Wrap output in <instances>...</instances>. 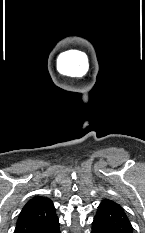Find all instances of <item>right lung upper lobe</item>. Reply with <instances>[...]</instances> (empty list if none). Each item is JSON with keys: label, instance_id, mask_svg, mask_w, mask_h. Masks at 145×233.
<instances>
[{"label": "right lung upper lobe", "instance_id": "cb5924a9", "mask_svg": "<svg viewBox=\"0 0 145 233\" xmlns=\"http://www.w3.org/2000/svg\"><path fill=\"white\" fill-rule=\"evenodd\" d=\"M57 219L49 198L37 196L29 200L19 214L14 233H38Z\"/></svg>", "mask_w": 145, "mask_h": 233}]
</instances>
